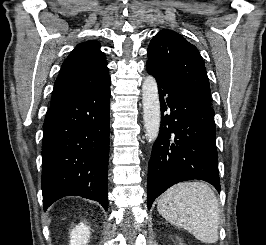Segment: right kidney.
<instances>
[{
    "instance_id": "ca27d5eb",
    "label": "right kidney",
    "mask_w": 266,
    "mask_h": 245,
    "mask_svg": "<svg viewBox=\"0 0 266 245\" xmlns=\"http://www.w3.org/2000/svg\"><path fill=\"white\" fill-rule=\"evenodd\" d=\"M75 245H87L90 239V229L85 223H79L74 229Z\"/></svg>"
}]
</instances>
